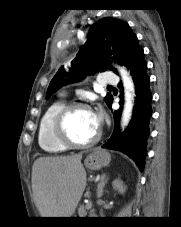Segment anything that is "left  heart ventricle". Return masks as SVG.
<instances>
[{
	"label": "left heart ventricle",
	"mask_w": 181,
	"mask_h": 227,
	"mask_svg": "<svg viewBox=\"0 0 181 227\" xmlns=\"http://www.w3.org/2000/svg\"><path fill=\"white\" fill-rule=\"evenodd\" d=\"M67 129L69 135L80 142L91 139L98 131L93 121L92 112L82 109L74 111L69 116Z\"/></svg>",
	"instance_id": "b2bd125f"
}]
</instances>
